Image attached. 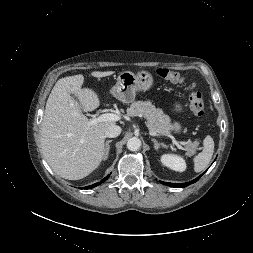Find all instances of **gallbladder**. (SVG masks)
<instances>
[{
	"mask_svg": "<svg viewBox=\"0 0 253 253\" xmlns=\"http://www.w3.org/2000/svg\"><path fill=\"white\" fill-rule=\"evenodd\" d=\"M71 96L75 101H78V98L74 94H71Z\"/></svg>",
	"mask_w": 253,
	"mask_h": 253,
	"instance_id": "gallbladder-1",
	"label": "gallbladder"
}]
</instances>
